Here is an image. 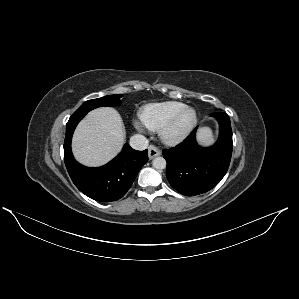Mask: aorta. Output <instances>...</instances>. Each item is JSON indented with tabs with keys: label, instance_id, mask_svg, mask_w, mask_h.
Returning <instances> with one entry per match:
<instances>
[{
	"label": "aorta",
	"instance_id": "1",
	"mask_svg": "<svg viewBox=\"0 0 299 299\" xmlns=\"http://www.w3.org/2000/svg\"><path fill=\"white\" fill-rule=\"evenodd\" d=\"M152 165L158 170L166 168V160L163 157H156L153 159Z\"/></svg>",
	"mask_w": 299,
	"mask_h": 299
}]
</instances>
